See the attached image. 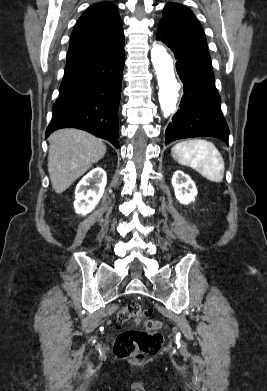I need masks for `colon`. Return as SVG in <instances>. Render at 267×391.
<instances>
[{
	"mask_svg": "<svg viewBox=\"0 0 267 391\" xmlns=\"http://www.w3.org/2000/svg\"><path fill=\"white\" fill-rule=\"evenodd\" d=\"M151 312L133 303L122 307L117 314L120 324L131 322L143 329L121 332L113 344V352L119 358L141 360L154 355L163 345V335L159 331L161 323L149 319Z\"/></svg>",
	"mask_w": 267,
	"mask_h": 391,
	"instance_id": "1",
	"label": "colon"
}]
</instances>
